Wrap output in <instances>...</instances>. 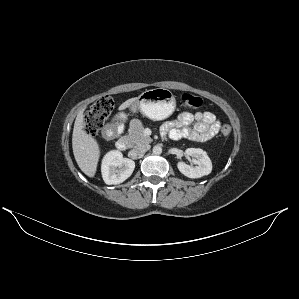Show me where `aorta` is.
<instances>
[{
    "label": "aorta",
    "instance_id": "aorta-1",
    "mask_svg": "<svg viewBox=\"0 0 299 299\" xmlns=\"http://www.w3.org/2000/svg\"><path fill=\"white\" fill-rule=\"evenodd\" d=\"M152 151H153V153H154L155 155H159V154L162 153V148H161V146H159V145H155V146L153 147Z\"/></svg>",
    "mask_w": 299,
    "mask_h": 299
}]
</instances>
